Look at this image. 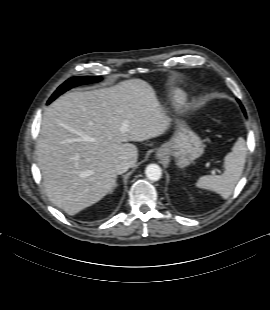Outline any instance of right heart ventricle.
Here are the masks:
<instances>
[{"label": "right heart ventricle", "mask_w": 270, "mask_h": 310, "mask_svg": "<svg viewBox=\"0 0 270 310\" xmlns=\"http://www.w3.org/2000/svg\"><path fill=\"white\" fill-rule=\"evenodd\" d=\"M176 98H178L179 100L183 99L184 98V93L183 92H177L176 93Z\"/></svg>", "instance_id": "right-heart-ventricle-1"}]
</instances>
